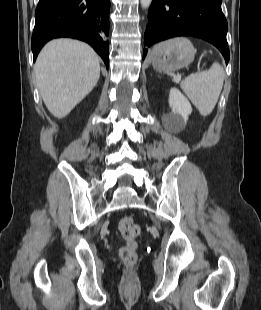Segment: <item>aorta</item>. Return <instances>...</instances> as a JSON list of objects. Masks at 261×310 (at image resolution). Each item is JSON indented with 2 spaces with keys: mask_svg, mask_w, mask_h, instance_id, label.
I'll return each instance as SVG.
<instances>
[{
  "mask_svg": "<svg viewBox=\"0 0 261 310\" xmlns=\"http://www.w3.org/2000/svg\"><path fill=\"white\" fill-rule=\"evenodd\" d=\"M151 2L152 0H140L143 9H147L150 6Z\"/></svg>",
  "mask_w": 261,
  "mask_h": 310,
  "instance_id": "1",
  "label": "aorta"
}]
</instances>
